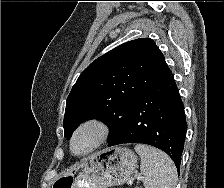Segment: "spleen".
Wrapping results in <instances>:
<instances>
[{
	"label": "spleen",
	"instance_id": "3e777b00",
	"mask_svg": "<svg viewBox=\"0 0 224 188\" xmlns=\"http://www.w3.org/2000/svg\"><path fill=\"white\" fill-rule=\"evenodd\" d=\"M135 151L141 157L140 170L145 188H175L177 170L166 153L145 144H137Z\"/></svg>",
	"mask_w": 224,
	"mask_h": 188
}]
</instances>
